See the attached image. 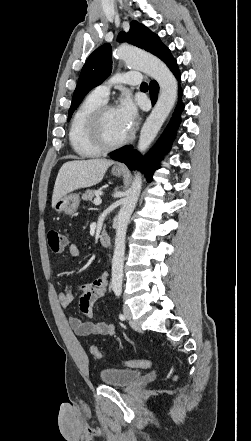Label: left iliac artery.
Returning <instances> with one entry per match:
<instances>
[{"mask_svg":"<svg viewBox=\"0 0 251 441\" xmlns=\"http://www.w3.org/2000/svg\"><path fill=\"white\" fill-rule=\"evenodd\" d=\"M114 292H115L116 296H118V297L121 295V289H115ZM119 319L124 321L126 319V317L124 314H119Z\"/></svg>","mask_w":251,"mask_h":441,"instance_id":"obj_1","label":"left iliac artery"}]
</instances>
